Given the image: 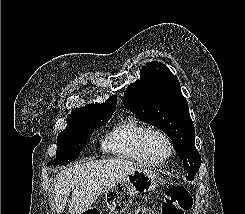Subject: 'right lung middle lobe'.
Returning a JSON list of instances; mask_svg holds the SVG:
<instances>
[{"instance_id": "dd1d6c3e", "label": "right lung middle lobe", "mask_w": 245, "mask_h": 214, "mask_svg": "<svg viewBox=\"0 0 245 214\" xmlns=\"http://www.w3.org/2000/svg\"><path fill=\"white\" fill-rule=\"evenodd\" d=\"M110 114H90L75 117L57 137V158L48 162L51 165H65L75 161L94 129L104 126L111 118Z\"/></svg>"}]
</instances>
